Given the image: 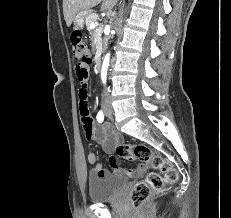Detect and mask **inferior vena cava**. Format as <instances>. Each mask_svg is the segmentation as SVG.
I'll return each mask as SVG.
<instances>
[{
	"mask_svg": "<svg viewBox=\"0 0 231 218\" xmlns=\"http://www.w3.org/2000/svg\"><path fill=\"white\" fill-rule=\"evenodd\" d=\"M103 96L108 97V92L105 91Z\"/></svg>",
	"mask_w": 231,
	"mask_h": 218,
	"instance_id": "inferior-vena-cava-1",
	"label": "inferior vena cava"
}]
</instances>
